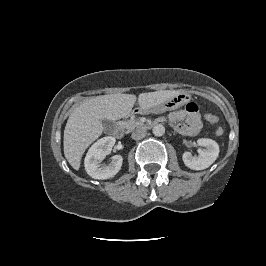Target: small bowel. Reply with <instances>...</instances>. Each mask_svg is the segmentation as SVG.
I'll list each match as a JSON object with an SVG mask.
<instances>
[{
	"mask_svg": "<svg viewBox=\"0 0 266 266\" xmlns=\"http://www.w3.org/2000/svg\"><path fill=\"white\" fill-rule=\"evenodd\" d=\"M168 120L180 134L187 136L196 135L202 126L199 109L194 102L188 103L183 109L170 112Z\"/></svg>",
	"mask_w": 266,
	"mask_h": 266,
	"instance_id": "obj_1",
	"label": "small bowel"
}]
</instances>
